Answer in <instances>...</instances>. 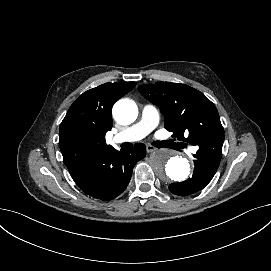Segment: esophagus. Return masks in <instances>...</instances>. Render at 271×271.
Instances as JSON below:
<instances>
[{
	"label": "esophagus",
	"instance_id": "34e87169",
	"mask_svg": "<svg viewBox=\"0 0 271 271\" xmlns=\"http://www.w3.org/2000/svg\"><path fill=\"white\" fill-rule=\"evenodd\" d=\"M146 150L148 153L154 152L157 150V148L153 145H146Z\"/></svg>",
	"mask_w": 271,
	"mask_h": 271
}]
</instances>
